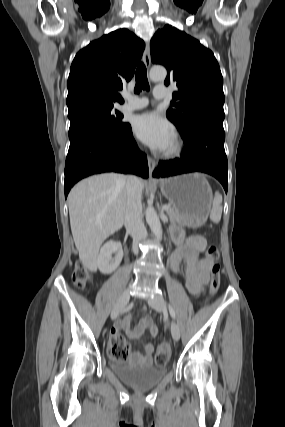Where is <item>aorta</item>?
I'll return each mask as SVG.
<instances>
[{
  "instance_id": "aorta-1",
  "label": "aorta",
  "mask_w": 285,
  "mask_h": 427,
  "mask_svg": "<svg viewBox=\"0 0 285 427\" xmlns=\"http://www.w3.org/2000/svg\"><path fill=\"white\" fill-rule=\"evenodd\" d=\"M167 75V71L163 66H154L149 72V78L151 81L159 82L164 81ZM146 221L155 235L160 240L162 238V226L160 219L153 206L149 205L145 211Z\"/></svg>"
}]
</instances>
